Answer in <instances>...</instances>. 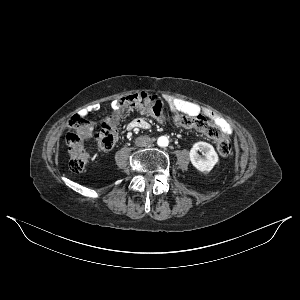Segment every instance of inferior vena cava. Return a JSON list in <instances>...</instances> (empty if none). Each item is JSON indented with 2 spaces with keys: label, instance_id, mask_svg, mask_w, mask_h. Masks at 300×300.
<instances>
[{
  "label": "inferior vena cava",
  "instance_id": "602c4592",
  "mask_svg": "<svg viewBox=\"0 0 300 300\" xmlns=\"http://www.w3.org/2000/svg\"><path fill=\"white\" fill-rule=\"evenodd\" d=\"M152 144V140L147 137H138L135 140V145L138 147H150Z\"/></svg>",
  "mask_w": 300,
  "mask_h": 300
}]
</instances>
